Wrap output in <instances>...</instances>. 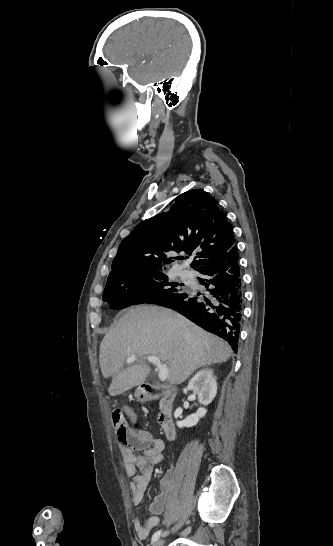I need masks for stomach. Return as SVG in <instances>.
<instances>
[{
    "instance_id": "stomach-1",
    "label": "stomach",
    "mask_w": 333,
    "mask_h": 546,
    "mask_svg": "<svg viewBox=\"0 0 333 546\" xmlns=\"http://www.w3.org/2000/svg\"><path fill=\"white\" fill-rule=\"evenodd\" d=\"M134 396L136 397V399L138 401H145L146 400V393L145 391L141 388V387H138L136 390H135V393H134Z\"/></svg>"
}]
</instances>
